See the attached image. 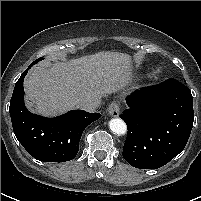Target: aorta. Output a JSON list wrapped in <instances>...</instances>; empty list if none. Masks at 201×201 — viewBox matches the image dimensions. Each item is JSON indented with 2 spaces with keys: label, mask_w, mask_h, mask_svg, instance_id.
<instances>
[{
  "label": "aorta",
  "mask_w": 201,
  "mask_h": 201,
  "mask_svg": "<svg viewBox=\"0 0 201 201\" xmlns=\"http://www.w3.org/2000/svg\"><path fill=\"white\" fill-rule=\"evenodd\" d=\"M110 130L117 135H124L127 132L126 123L119 118H113L109 121Z\"/></svg>",
  "instance_id": "1"
}]
</instances>
